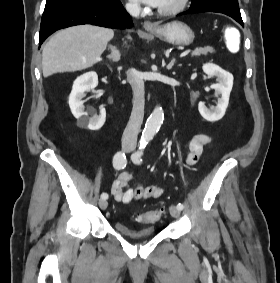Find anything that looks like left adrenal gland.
I'll return each mask as SVG.
<instances>
[{"mask_svg":"<svg viewBox=\"0 0 280 283\" xmlns=\"http://www.w3.org/2000/svg\"><path fill=\"white\" fill-rule=\"evenodd\" d=\"M175 62L176 60L172 59L171 62L167 65V69L170 70L174 66Z\"/></svg>","mask_w":280,"mask_h":283,"instance_id":"1","label":"left adrenal gland"}]
</instances>
